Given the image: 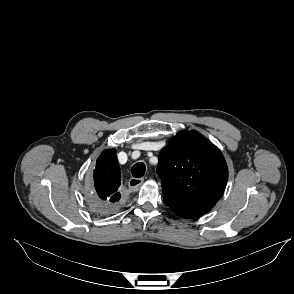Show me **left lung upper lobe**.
Instances as JSON below:
<instances>
[{"label":"left lung upper lobe","instance_id":"1","mask_svg":"<svg viewBox=\"0 0 294 294\" xmlns=\"http://www.w3.org/2000/svg\"><path fill=\"white\" fill-rule=\"evenodd\" d=\"M163 198L176 214L195 218L223 195L228 168L221 151L196 132H180L159 154Z\"/></svg>","mask_w":294,"mask_h":294}]
</instances>
